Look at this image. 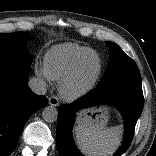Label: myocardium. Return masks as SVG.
Listing matches in <instances>:
<instances>
[{
  "instance_id": "myocardium-1",
  "label": "myocardium",
  "mask_w": 156,
  "mask_h": 156,
  "mask_svg": "<svg viewBox=\"0 0 156 156\" xmlns=\"http://www.w3.org/2000/svg\"><path fill=\"white\" fill-rule=\"evenodd\" d=\"M89 57H95L97 59V72L94 78L86 85L78 87L76 81L80 75L83 65L86 63ZM103 72V63L98 54H87L83 56L74 66L69 75L64 78L59 86V93L65 101L74 102L88 95L94 90L99 83Z\"/></svg>"
}]
</instances>
